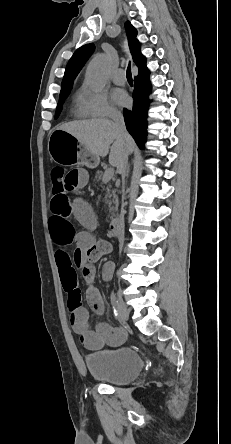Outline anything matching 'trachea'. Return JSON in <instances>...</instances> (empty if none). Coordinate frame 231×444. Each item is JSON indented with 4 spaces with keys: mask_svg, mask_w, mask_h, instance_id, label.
I'll use <instances>...</instances> for the list:
<instances>
[{
    "mask_svg": "<svg viewBox=\"0 0 231 444\" xmlns=\"http://www.w3.org/2000/svg\"><path fill=\"white\" fill-rule=\"evenodd\" d=\"M126 76H127V80L132 81V73H131L130 63H129V65H128V67H127Z\"/></svg>",
    "mask_w": 231,
    "mask_h": 444,
    "instance_id": "1",
    "label": "trachea"
}]
</instances>
